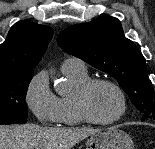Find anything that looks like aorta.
<instances>
[{
    "label": "aorta",
    "instance_id": "aorta-1",
    "mask_svg": "<svg viewBox=\"0 0 155 149\" xmlns=\"http://www.w3.org/2000/svg\"><path fill=\"white\" fill-rule=\"evenodd\" d=\"M54 86H55V91L58 94H65L68 91V84L63 79H57L55 81V85Z\"/></svg>",
    "mask_w": 155,
    "mask_h": 149
}]
</instances>
